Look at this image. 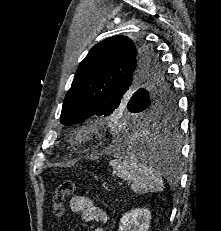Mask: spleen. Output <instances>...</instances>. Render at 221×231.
<instances>
[{
    "mask_svg": "<svg viewBox=\"0 0 221 231\" xmlns=\"http://www.w3.org/2000/svg\"><path fill=\"white\" fill-rule=\"evenodd\" d=\"M109 165L113 168V174L132 182L131 188L136 193H155L163 190L160 173L144 161L139 162L135 157L129 156L111 160Z\"/></svg>",
    "mask_w": 221,
    "mask_h": 231,
    "instance_id": "3e777b00",
    "label": "spleen"
}]
</instances>
